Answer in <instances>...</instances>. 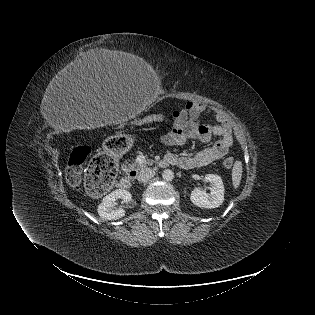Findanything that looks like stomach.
<instances>
[{"instance_id": "stomach-1", "label": "stomach", "mask_w": 315, "mask_h": 315, "mask_svg": "<svg viewBox=\"0 0 315 315\" xmlns=\"http://www.w3.org/2000/svg\"><path fill=\"white\" fill-rule=\"evenodd\" d=\"M133 141L124 134L109 136L103 144L104 152L112 158L124 157L132 149Z\"/></svg>"}]
</instances>
